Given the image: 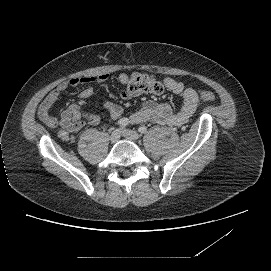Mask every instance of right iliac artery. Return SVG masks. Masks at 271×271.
Here are the masks:
<instances>
[{
	"mask_svg": "<svg viewBox=\"0 0 271 271\" xmlns=\"http://www.w3.org/2000/svg\"><path fill=\"white\" fill-rule=\"evenodd\" d=\"M129 119L128 118H121L118 122L117 125L120 127H125L127 125H129Z\"/></svg>",
	"mask_w": 271,
	"mask_h": 271,
	"instance_id": "1",
	"label": "right iliac artery"
}]
</instances>
